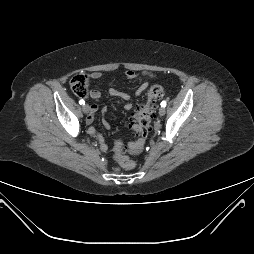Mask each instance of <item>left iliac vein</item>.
I'll use <instances>...</instances> for the list:
<instances>
[{"instance_id": "4c4485c4", "label": "left iliac vein", "mask_w": 254, "mask_h": 254, "mask_svg": "<svg viewBox=\"0 0 254 254\" xmlns=\"http://www.w3.org/2000/svg\"><path fill=\"white\" fill-rule=\"evenodd\" d=\"M165 108L164 107H161L160 109H159V115L160 116H164L165 115Z\"/></svg>"}]
</instances>
